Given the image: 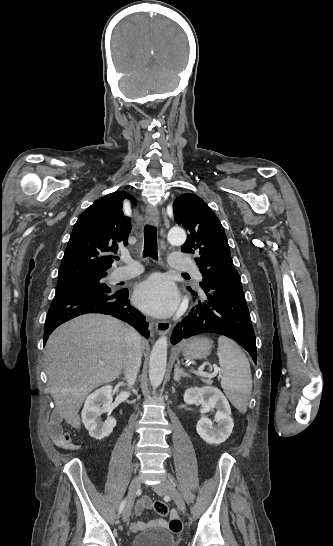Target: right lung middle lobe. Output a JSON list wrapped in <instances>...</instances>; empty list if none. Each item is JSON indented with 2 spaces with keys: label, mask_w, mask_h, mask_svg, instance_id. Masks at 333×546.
<instances>
[{
  "label": "right lung middle lobe",
  "mask_w": 333,
  "mask_h": 546,
  "mask_svg": "<svg viewBox=\"0 0 333 546\" xmlns=\"http://www.w3.org/2000/svg\"><path fill=\"white\" fill-rule=\"evenodd\" d=\"M106 276L107 274H99L58 280L55 296L80 292L110 293V288L103 282Z\"/></svg>",
  "instance_id": "obj_1"
}]
</instances>
